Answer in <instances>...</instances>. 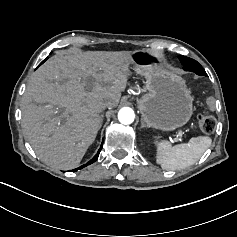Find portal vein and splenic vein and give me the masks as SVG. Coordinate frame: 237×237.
<instances>
[{
  "label": "portal vein and splenic vein",
  "mask_w": 237,
  "mask_h": 237,
  "mask_svg": "<svg viewBox=\"0 0 237 237\" xmlns=\"http://www.w3.org/2000/svg\"><path fill=\"white\" fill-rule=\"evenodd\" d=\"M179 135L184 136V133L182 132V129H179ZM182 138V137H181Z\"/></svg>",
  "instance_id": "1"
}]
</instances>
